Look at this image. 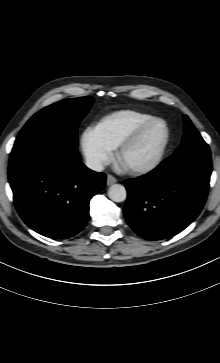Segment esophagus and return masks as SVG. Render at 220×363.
<instances>
[{
  "mask_svg": "<svg viewBox=\"0 0 220 363\" xmlns=\"http://www.w3.org/2000/svg\"><path fill=\"white\" fill-rule=\"evenodd\" d=\"M116 182H117V179L114 176H112L110 174L107 175V180H106L107 185H112Z\"/></svg>",
  "mask_w": 220,
  "mask_h": 363,
  "instance_id": "obj_1",
  "label": "esophagus"
}]
</instances>
